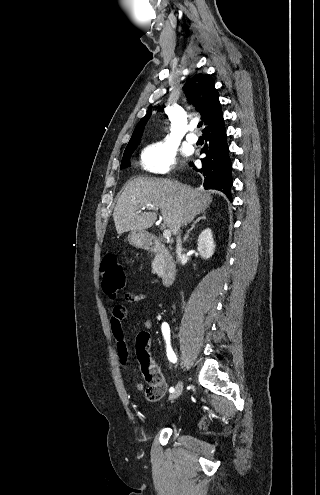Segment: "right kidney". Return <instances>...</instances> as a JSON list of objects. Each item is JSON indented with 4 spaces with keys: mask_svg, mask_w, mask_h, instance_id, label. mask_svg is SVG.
<instances>
[{
    "mask_svg": "<svg viewBox=\"0 0 320 495\" xmlns=\"http://www.w3.org/2000/svg\"><path fill=\"white\" fill-rule=\"evenodd\" d=\"M197 245L199 254L203 259H209L213 255L215 243L211 229L207 228L201 232Z\"/></svg>",
    "mask_w": 320,
    "mask_h": 495,
    "instance_id": "1",
    "label": "right kidney"
}]
</instances>
